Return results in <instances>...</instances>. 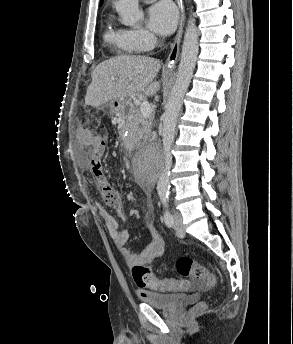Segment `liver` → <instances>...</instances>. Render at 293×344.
<instances>
[{
	"label": "liver",
	"mask_w": 293,
	"mask_h": 344,
	"mask_svg": "<svg viewBox=\"0 0 293 344\" xmlns=\"http://www.w3.org/2000/svg\"><path fill=\"white\" fill-rule=\"evenodd\" d=\"M159 60L149 56L121 55L100 63L92 72L85 104L100 106L113 100L135 97L139 92L154 95L160 89L155 80Z\"/></svg>",
	"instance_id": "obj_1"
}]
</instances>
